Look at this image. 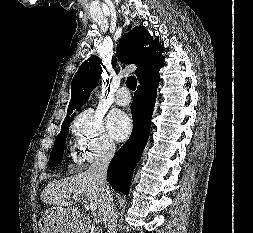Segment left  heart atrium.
I'll return each mask as SVG.
<instances>
[{"instance_id": "39dd6f15", "label": "left heart atrium", "mask_w": 253, "mask_h": 233, "mask_svg": "<svg viewBox=\"0 0 253 233\" xmlns=\"http://www.w3.org/2000/svg\"><path fill=\"white\" fill-rule=\"evenodd\" d=\"M107 128L114 139L123 141L131 132L132 123L126 114L114 111L111 112L107 118Z\"/></svg>"}]
</instances>
